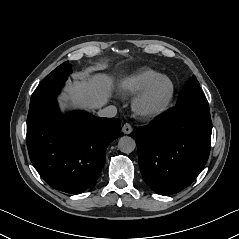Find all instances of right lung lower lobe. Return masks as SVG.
<instances>
[{
	"instance_id": "obj_1",
	"label": "right lung lower lobe",
	"mask_w": 239,
	"mask_h": 239,
	"mask_svg": "<svg viewBox=\"0 0 239 239\" xmlns=\"http://www.w3.org/2000/svg\"><path fill=\"white\" fill-rule=\"evenodd\" d=\"M64 83L30 101L27 147L31 162L53 188L78 193L88 189L105 165V150L121 133L117 118L86 112L62 115L56 96Z\"/></svg>"
}]
</instances>
